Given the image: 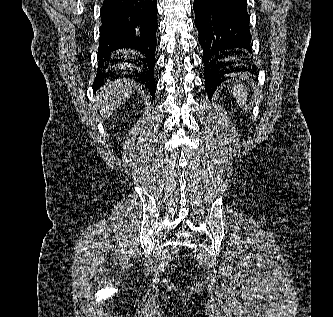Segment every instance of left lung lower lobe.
<instances>
[{"label":"left lung lower lobe","instance_id":"0a47b994","mask_svg":"<svg viewBox=\"0 0 333 317\" xmlns=\"http://www.w3.org/2000/svg\"><path fill=\"white\" fill-rule=\"evenodd\" d=\"M193 9L198 41L203 48L206 91L211 98L228 79L226 74L234 71L233 63L225 58L236 55L238 48L251 51L247 0H194ZM236 70L247 71V68Z\"/></svg>","mask_w":333,"mask_h":317}]
</instances>
